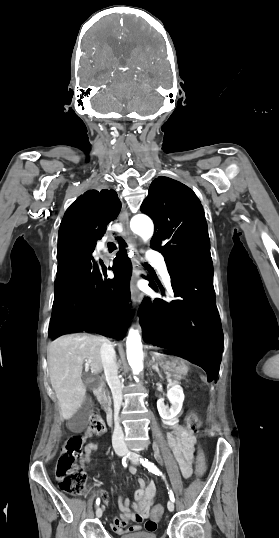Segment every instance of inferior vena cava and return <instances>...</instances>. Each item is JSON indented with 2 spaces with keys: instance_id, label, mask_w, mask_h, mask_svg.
<instances>
[{
  "instance_id": "1",
  "label": "inferior vena cava",
  "mask_w": 279,
  "mask_h": 538,
  "mask_svg": "<svg viewBox=\"0 0 279 538\" xmlns=\"http://www.w3.org/2000/svg\"><path fill=\"white\" fill-rule=\"evenodd\" d=\"M109 343H107V342ZM105 343L102 344L101 346V357H102V364H103V367H104V372H105V376H106V380L108 382V385L110 386L111 385V391H112V394H113V399H114V407H115V415H114V420H115V429H114V434L112 436V444H113V447L115 449V452L120 455V456H123V455H126L124 456L123 458L127 457L128 455V448H127V444H125L124 441H127L125 440L126 437H124V434H123V431L121 429V427L119 426V417H118V413H119V409H120V405H121V402H122V392H121V388L124 387L123 383H122V386H121V383L119 382V376H117V365H116V357H115V351L113 349V345H111V343H114V342H110L109 340L106 339ZM123 404V403H122ZM124 422H122L123 424Z\"/></svg>"
}]
</instances>
